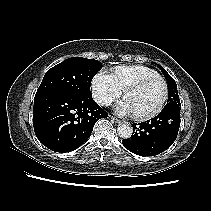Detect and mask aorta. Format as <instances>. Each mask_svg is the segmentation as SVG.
Listing matches in <instances>:
<instances>
[{
	"label": "aorta",
	"instance_id": "1",
	"mask_svg": "<svg viewBox=\"0 0 211 211\" xmlns=\"http://www.w3.org/2000/svg\"><path fill=\"white\" fill-rule=\"evenodd\" d=\"M118 135L123 139H128L132 136L133 129L129 124H121L118 129Z\"/></svg>",
	"mask_w": 211,
	"mask_h": 211
}]
</instances>
